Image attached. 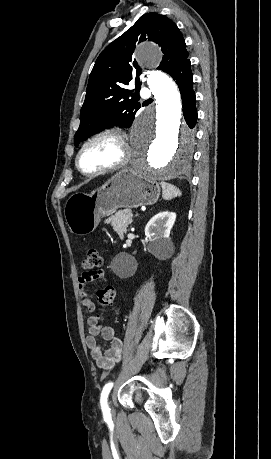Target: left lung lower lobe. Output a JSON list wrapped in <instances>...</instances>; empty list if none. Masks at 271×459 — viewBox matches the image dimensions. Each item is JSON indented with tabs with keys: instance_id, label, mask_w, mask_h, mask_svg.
<instances>
[{
	"instance_id": "obj_1",
	"label": "left lung lower lobe",
	"mask_w": 271,
	"mask_h": 459,
	"mask_svg": "<svg viewBox=\"0 0 271 459\" xmlns=\"http://www.w3.org/2000/svg\"><path fill=\"white\" fill-rule=\"evenodd\" d=\"M179 86L183 103V115L187 125L194 128L197 121L196 96L193 90V74L190 60L182 61L170 74Z\"/></svg>"
}]
</instances>
